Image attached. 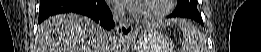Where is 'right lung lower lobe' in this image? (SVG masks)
I'll return each mask as SVG.
<instances>
[{
	"label": "right lung lower lobe",
	"mask_w": 261,
	"mask_h": 52,
	"mask_svg": "<svg viewBox=\"0 0 261 52\" xmlns=\"http://www.w3.org/2000/svg\"><path fill=\"white\" fill-rule=\"evenodd\" d=\"M69 12L88 16L107 30L115 25L104 0H41L38 23L49 16Z\"/></svg>",
	"instance_id": "obj_1"
}]
</instances>
